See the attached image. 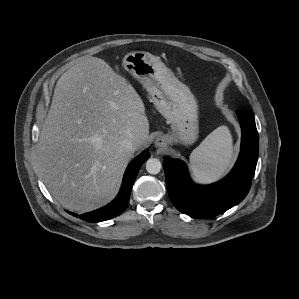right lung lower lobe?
<instances>
[{
	"label": "right lung lower lobe",
	"instance_id": "right-lung-lower-lobe-1",
	"mask_svg": "<svg viewBox=\"0 0 299 299\" xmlns=\"http://www.w3.org/2000/svg\"><path fill=\"white\" fill-rule=\"evenodd\" d=\"M150 157V154L148 150H145L142 152L140 155H138L135 159L131 161V163L128 165L124 178H123V183L120 189V192L116 199L110 203L109 205L100 208L98 210L85 213L80 215L79 217L82 220L88 221V222H99V221H104L108 220L111 218H114L118 215H120L124 209L126 208L130 193L132 190L133 183L136 179V176L138 174V171L142 164ZM73 216L78 217L77 214L68 212Z\"/></svg>",
	"mask_w": 299,
	"mask_h": 299
}]
</instances>
